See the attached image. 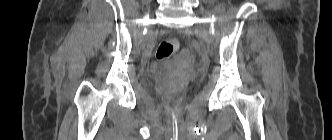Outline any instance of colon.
I'll return each mask as SVG.
<instances>
[{
	"label": "colon",
	"mask_w": 332,
	"mask_h": 140,
	"mask_svg": "<svg viewBox=\"0 0 332 140\" xmlns=\"http://www.w3.org/2000/svg\"><path fill=\"white\" fill-rule=\"evenodd\" d=\"M179 48V41L177 39H167L162 41L156 50V58L160 61L170 58Z\"/></svg>",
	"instance_id": "1"
}]
</instances>
